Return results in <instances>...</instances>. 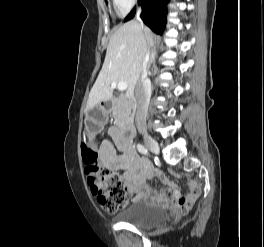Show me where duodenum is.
Here are the masks:
<instances>
[{
    "label": "duodenum",
    "mask_w": 264,
    "mask_h": 247,
    "mask_svg": "<svg viewBox=\"0 0 264 247\" xmlns=\"http://www.w3.org/2000/svg\"><path fill=\"white\" fill-rule=\"evenodd\" d=\"M106 107L108 108L107 105ZM122 128H123L124 133L127 134L128 136H133L135 134V131H136L135 125L131 121H127L123 123Z\"/></svg>",
    "instance_id": "1"
}]
</instances>
